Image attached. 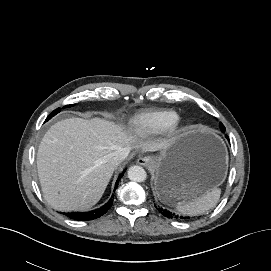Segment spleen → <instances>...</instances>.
Here are the masks:
<instances>
[{
	"mask_svg": "<svg viewBox=\"0 0 271 271\" xmlns=\"http://www.w3.org/2000/svg\"><path fill=\"white\" fill-rule=\"evenodd\" d=\"M221 190L217 187L204 195L192 200L177 204V210L184 215H200L212 209L219 201Z\"/></svg>",
	"mask_w": 271,
	"mask_h": 271,
	"instance_id": "spleen-1",
	"label": "spleen"
}]
</instances>
